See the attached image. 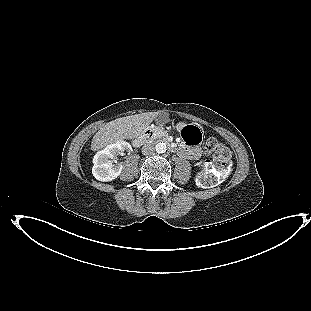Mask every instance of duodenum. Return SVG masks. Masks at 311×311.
I'll return each instance as SVG.
<instances>
[{
  "label": "duodenum",
  "instance_id": "duodenum-1",
  "mask_svg": "<svg viewBox=\"0 0 311 311\" xmlns=\"http://www.w3.org/2000/svg\"><path fill=\"white\" fill-rule=\"evenodd\" d=\"M151 139H160L164 140L167 144L170 143L166 134L155 127L146 128L144 132L140 136L135 137L132 142L134 146L139 147ZM171 149L174 150L173 147H171Z\"/></svg>",
  "mask_w": 311,
  "mask_h": 311
}]
</instances>
